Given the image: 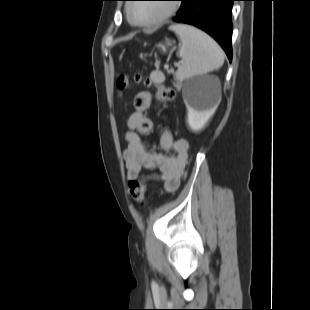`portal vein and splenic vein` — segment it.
I'll list each match as a JSON object with an SVG mask.
<instances>
[{"mask_svg":"<svg viewBox=\"0 0 310 310\" xmlns=\"http://www.w3.org/2000/svg\"><path fill=\"white\" fill-rule=\"evenodd\" d=\"M180 64H177V66H179ZM166 69H168V66H165Z\"/></svg>","mask_w":310,"mask_h":310,"instance_id":"18ae733b","label":"portal vein and splenic vein"}]
</instances>
